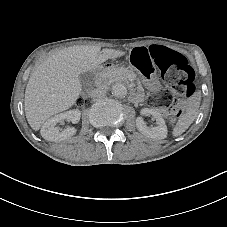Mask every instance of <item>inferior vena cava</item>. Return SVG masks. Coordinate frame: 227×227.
Segmentation results:
<instances>
[{
	"label": "inferior vena cava",
	"instance_id": "1",
	"mask_svg": "<svg viewBox=\"0 0 227 227\" xmlns=\"http://www.w3.org/2000/svg\"><path fill=\"white\" fill-rule=\"evenodd\" d=\"M105 93H106V89H104L102 87H97V88H94V89L90 90V95L93 98L102 97V96L105 95Z\"/></svg>",
	"mask_w": 227,
	"mask_h": 227
}]
</instances>
